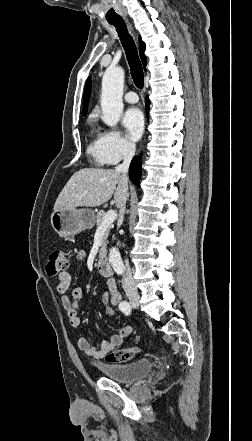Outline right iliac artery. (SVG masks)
<instances>
[{"instance_id":"82829eb1","label":"right iliac artery","mask_w":252,"mask_h":441,"mask_svg":"<svg viewBox=\"0 0 252 441\" xmlns=\"http://www.w3.org/2000/svg\"><path fill=\"white\" fill-rule=\"evenodd\" d=\"M127 304H129V303L126 302V301H123V302H121L120 305H119V309H120L124 314H125V307H126Z\"/></svg>"}]
</instances>
